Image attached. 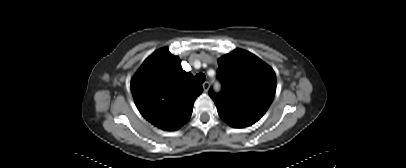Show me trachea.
<instances>
[{
    "instance_id": "3493384b",
    "label": "trachea",
    "mask_w": 406,
    "mask_h": 168,
    "mask_svg": "<svg viewBox=\"0 0 406 168\" xmlns=\"http://www.w3.org/2000/svg\"><path fill=\"white\" fill-rule=\"evenodd\" d=\"M205 79H206V77L203 73H198L195 76V81L200 84L203 83L205 81Z\"/></svg>"
}]
</instances>
